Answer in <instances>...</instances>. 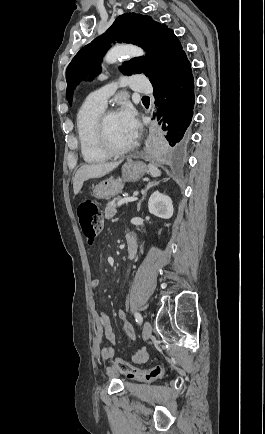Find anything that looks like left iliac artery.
I'll return each instance as SVG.
<instances>
[{"mask_svg": "<svg viewBox=\"0 0 265 434\" xmlns=\"http://www.w3.org/2000/svg\"><path fill=\"white\" fill-rule=\"evenodd\" d=\"M135 319H136V322H138L139 324L142 323L143 318H142L140 313L135 312Z\"/></svg>", "mask_w": 265, "mask_h": 434, "instance_id": "obj_1", "label": "left iliac artery"}]
</instances>
